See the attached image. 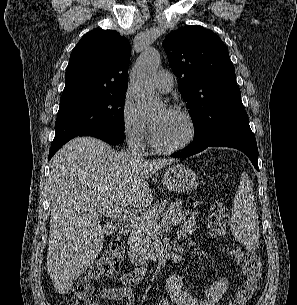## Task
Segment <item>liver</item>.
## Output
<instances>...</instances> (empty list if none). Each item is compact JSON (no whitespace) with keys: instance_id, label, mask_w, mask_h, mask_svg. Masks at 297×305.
I'll return each mask as SVG.
<instances>
[{"instance_id":"liver-1","label":"liver","mask_w":297,"mask_h":305,"mask_svg":"<svg viewBox=\"0 0 297 305\" xmlns=\"http://www.w3.org/2000/svg\"><path fill=\"white\" fill-rule=\"evenodd\" d=\"M173 161L137 159L92 137H77L53 156L46 267L59 294L69 292L96 260L104 234L114 232L112 223H98V210L112 204L148 206L153 198L146 180Z\"/></svg>"}]
</instances>
